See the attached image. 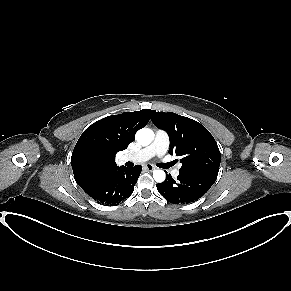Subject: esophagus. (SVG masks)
Returning <instances> with one entry per match:
<instances>
[{
    "instance_id": "esophagus-1",
    "label": "esophagus",
    "mask_w": 291,
    "mask_h": 291,
    "mask_svg": "<svg viewBox=\"0 0 291 291\" xmlns=\"http://www.w3.org/2000/svg\"><path fill=\"white\" fill-rule=\"evenodd\" d=\"M144 168L148 171H153V170L157 169V167L153 166L152 164H146L144 166Z\"/></svg>"
}]
</instances>
